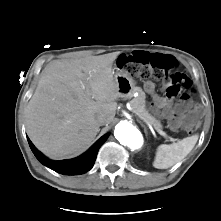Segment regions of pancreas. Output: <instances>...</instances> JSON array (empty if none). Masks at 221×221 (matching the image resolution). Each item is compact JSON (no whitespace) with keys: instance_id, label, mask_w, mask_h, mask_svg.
<instances>
[{"instance_id":"1","label":"pancreas","mask_w":221,"mask_h":221,"mask_svg":"<svg viewBox=\"0 0 221 221\" xmlns=\"http://www.w3.org/2000/svg\"><path fill=\"white\" fill-rule=\"evenodd\" d=\"M133 91H136L139 93L137 97L131 100V107H132L133 112L136 115H138L142 120H144L146 123H149L153 127L161 129L162 124L160 120L152 116L149 113V111L146 109L145 93L139 88H136Z\"/></svg>"}]
</instances>
